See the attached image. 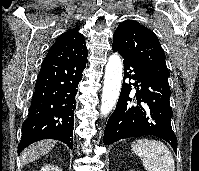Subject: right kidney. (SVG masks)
<instances>
[{"label": "right kidney", "instance_id": "1", "mask_svg": "<svg viewBox=\"0 0 199 171\" xmlns=\"http://www.w3.org/2000/svg\"><path fill=\"white\" fill-rule=\"evenodd\" d=\"M40 171H62V169L58 168L57 166L49 164L43 166Z\"/></svg>", "mask_w": 199, "mask_h": 171}]
</instances>
